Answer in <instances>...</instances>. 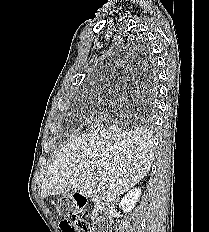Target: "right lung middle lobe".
<instances>
[{
    "instance_id": "right-lung-middle-lobe-1",
    "label": "right lung middle lobe",
    "mask_w": 209,
    "mask_h": 232,
    "mask_svg": "<svg viewBox=\"0 0 209 232\" xmlns=\"http://www.w3.org/2000/svg\"><path fill=\"white\" fill-rule=\"evenodd\" d=\"M148 84L151 86L148 87V94L146 97V102L143 105V114H144V124L148 127H152L154 123V111L155 104L157 99V89L154 86V76L153 74L148 77Z\"/></svg>"
}]
</instances>
